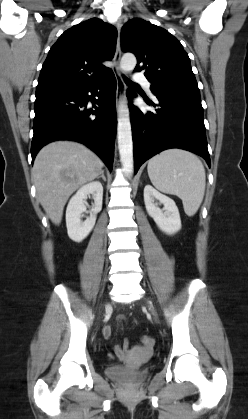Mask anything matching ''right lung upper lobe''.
Instances as JSON below:
<instances>
[{"label":"right lung upper lobe","instance_id":"1","mask_svg":"<svg viewBox=\"0 0 248 419\" xmlns=\"http://www.w3.org/2000/svg\"><path fill=\"white\" fill-rule=\"evenodd\" d=\"M117 30L92 18L66 30L51 47L42 66L36 94L72 90L103 78L114 56Z\"/></svg>","mask_w":248,"mask_h":419}]
</instances>
